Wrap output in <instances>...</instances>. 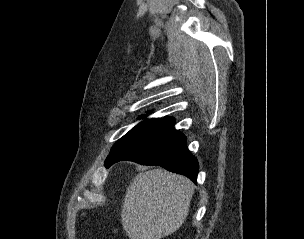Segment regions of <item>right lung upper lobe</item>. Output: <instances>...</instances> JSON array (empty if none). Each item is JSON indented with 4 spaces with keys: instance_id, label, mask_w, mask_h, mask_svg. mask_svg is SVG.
<instances>
[{
    "instance_id": "obj_1",
    "label": "right lung upper lobe",
    "mask_w": 304,
    "mask_h": 239,
    "mask_svg": "<svg viewBox=\"0 0 304 239\" xmlns=\"http://www.w3.org/2000/svg\"><path fill=\"white\" fill-rule=\"evenodd\" d=\"M164 119H167L168 121H174V118L172 117H165Z\"/></svg>"
}]
</instances>
